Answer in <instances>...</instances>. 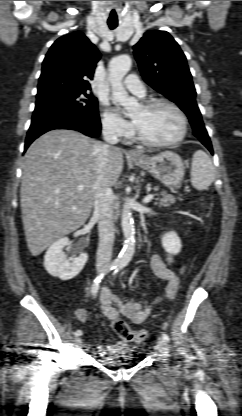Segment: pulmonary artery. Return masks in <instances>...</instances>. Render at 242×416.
Wrapping results in <instances>:
<instances>
[{"label":"pulmonary artery","mask_w":242,"mask_h":416,"mask_svg":"<svg viewBox=\"0 0 242 416\" xmlns=\"http://www.w3.org/2000/svg\"><path fill=\"white\" fill-rule=\"evenodd\" d=\"M123 86L137 96H143L145 94L144 85L135 74L128 75Z\"/></svg>","instance_id":"pulmonary-artery-1"}]
</instances>
